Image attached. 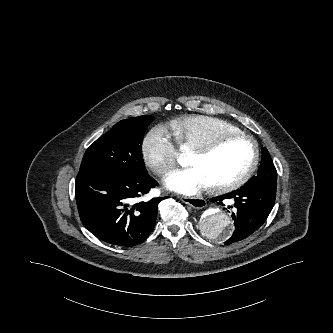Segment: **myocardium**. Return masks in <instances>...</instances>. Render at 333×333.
Listing matches in <instances>:
<instances>
[{"mask_svg": "<svg viewBox=\"0 0 333 333\" xmlns=\"http://www.w3.org/2000/svg\"><path fill=\"white\" fill-rule=\"evenodd\" d=\"M236 139H243L249 141L254 148V155L252 162L250 166L247 168V170L240 175L238 178L226 182V183H221V184H216V185H211L210 189L215 192V193H225V192H230L233 190H236L243 185H245L254 172L256 171L259 160H260V147L259 143L257 140L252 137L251 135H248L243 132H238V133H224V134H219L208 141L198 145L197 147L192 149V153L200 156H205L210 153H212L214 150H216L221 144H223L226 141L230 140H236Z\"/></svg>", "mask_w": 333, "mask_h": 333, "instance_id": "1", "label": "myocardium"}]
</instances>
